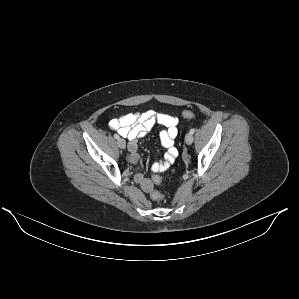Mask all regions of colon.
<instances>
[{
    "label": "colon",
    "mask_w": 299,
    "mask_h": 299,
    "mask_svg": "<svg viewBox=\"0 0 299 299\" xmlns=\"http://www.w3.org/2000/svg\"><path fill=\"white\" fill-rule=\"evenodd\" d=\"M195 116L194 112L192 111H184L183 112V117L186 118V119H190V118H193ZM153 181L156 183V184H159L161 183V178L158 177V176H154L153 177ZM152 198L155 200V201H161L163 200V195L158 191V190H154L152 192Z\"/></svg>",
    "instance_id": "1"
}]
</instances>
